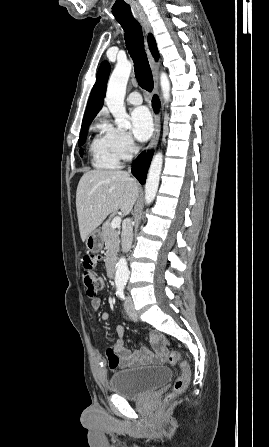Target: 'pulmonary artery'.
Returning a JSON list of instances; mask_svg holds the SVG:
<instances>
[{"instance_id": "pulmonary-artery-1", "label": "pulmonary artery", "mask_w": 269, "mask_h": 447, "mask_svg": "<svg viewBox=\"0 0 269 447\" xmlns=\"http://www.w3.org/2000/svg\"><path fill=\"white\" fill-rule=\"evenodd\" d=\"M127 101L131 105H139L143 103V98L139 92L133 91L128 95Z\"/></svg>"}]
</instances>
